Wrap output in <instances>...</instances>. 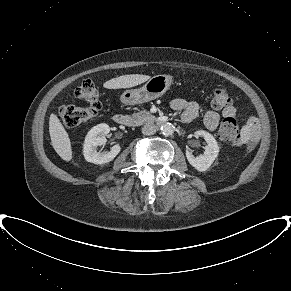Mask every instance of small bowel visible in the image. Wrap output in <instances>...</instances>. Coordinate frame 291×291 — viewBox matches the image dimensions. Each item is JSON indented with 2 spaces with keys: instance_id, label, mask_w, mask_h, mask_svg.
<instances>
[{
  "instance_id": "c3829d8e",
  "label": "small bowel",
  "mask_w": 291,
  "mask_h": 291,
  "mask_svg": "<svg viewBox=\"0 0 291 291\" xmlns=\"http://www.w3.org/2000/svg\"><path fill=\"white\" fill-rule=\"evenodd\" d=\"M171 107L175 111H181V119L184 123L192 122L199 113V105L193 101H187L182 98H178L172 101ZM236 114V108L233 105H228L226 108L222 110L221 113L209 110L205 113L204 116V124L210 131H214L217 129L221 118H225L228 116L234 117ZM246 127L249 134V139L252 142L258 140L260 135V129L258 122L250 118L246 123Z\"/></svg>"
}]
</instances>
